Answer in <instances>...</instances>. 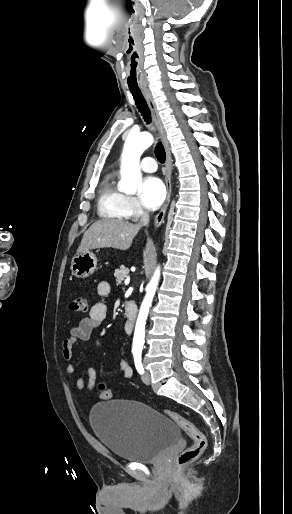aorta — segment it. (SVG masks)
Segmentation results:
<instances>
[{"instance_id": "obj_1", "label": "aorta", "mask_w": 292, "mask_h": 514, "mask_svg": "<svg viewBox=\"0 0 292 514\" xmlns=\"http://www.w3.org/2000/svg\"><path fill=\"white\" fill-rule=\"evenodd\" d=\"M151 144H153V136L148 134V132H141V134H131L130 132L124 144L120 172L121 182L119 184L120 190L125 192V194H136L137 186L142 176L139 166L140 156ZM159 278L160 270H156L150 284H148L146 288L147 294L141 304L137 318L133 348H139V350H142L145 336V322L158 286Z\"/></svg>"}]
</instances>
